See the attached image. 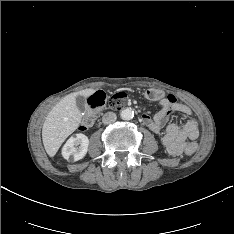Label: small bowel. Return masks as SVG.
Masks as SVG:
<instances>
[{
  "mask_svg": "<svg viewBox=\"0 0 234 234\" xmlns=\"http://www.w3.org/2000/svg\"><path fill=\"white\" fill-rule=\"evenodd\" d=\"M161 109L151 117L148 113L142 115L143 123L153 132L160 133L163 129L168 116L176 112L181 117L191 115V109L179 102L172 94L165 96L160 100ZM199 136V128L196 120L191 119L185 122L181 127L176 124H169L165 128L162 138L166 151L171 155H180L185 147L189 146Z\"/></svg>",
  "mask_w": 234,
  "mask_h": 234,
  "instance_id": "1",
  "label": "small bowel"
}]
</instances>
